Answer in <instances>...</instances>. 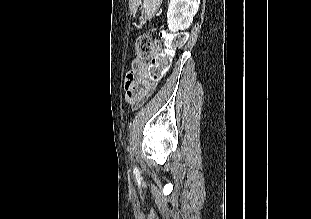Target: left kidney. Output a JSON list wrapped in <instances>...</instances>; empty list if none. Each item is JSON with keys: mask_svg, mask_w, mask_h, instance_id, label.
Wrapping results in <instances>:
<instances>
[{"mask_svg": "<svg viewBox=\"0 0 311 219\" xmlns=\"http://www.w3.org/2000/svg\"><path fill=\"white\" fill-rule=\"evenodd\" d=\"M200 0H170L167 24L171 32L185 30L198 12Z\"/></svg>", "mask_w": 311, "mask_h": 219, "instance_id": "left-kidney-1", "label": "left kidney"}]
</instances>
